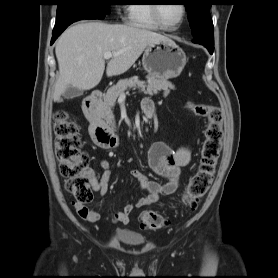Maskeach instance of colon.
Returning a JSON list of instances; mask_svg holds the SVG:
<instances>
[{
    "label": "colon",
    "mask_w": 278,
    "mask_h": 278,
    "mask_svg": "<svg viewBox=\"0 0 278 278\" xmlns=\"http://www.w3.org/2000/svg\"><path fill=\"white\" fill-rule=\"evenodd\" d=\"M191 112L207 120L198 169L191 177L183 196L189 209H196L208 191L214 177L220 155L223 114L219 107L210 104L188 102ZM55 153L65 188L75 198V203L85 205L92 200L94 173L89 166V156L82 150L77 123L65 110L56 112L53 121ZM143 228L157 230L166 228L167 220L153 211L143 212L140 217Z\"/></svg>",
    "instance_id": "obj_1"
}]
</instances>
